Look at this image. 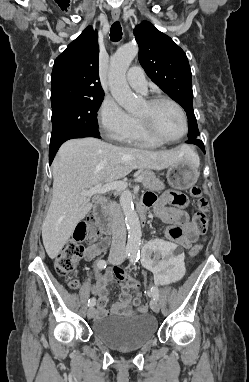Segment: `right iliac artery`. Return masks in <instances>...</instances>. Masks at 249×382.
I'll use <instances>...</instances> for the list:
<instances>
[{"mask_svg":"<svg viewBox=\"0 0 249 382\" xmlns=\"http://www.w3.org/2000/svg\"><path fill=\"white\" fill-rule=\"evenodd\" d=\"M131 255V251L130 250H126L125 251V254H124V258H127ZM97 266L99 269H105L106 266H107V263L105 260H99L98 263H97ZM96 304V299L95 298H91L88 300V306H94Z\"/></svg>","mask_w":249,"mask_h":382,"instance_id":"right-iliac-artery-1","label":"right iliac artery"}]
</instances>
